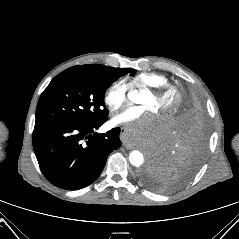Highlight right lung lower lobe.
I'll return each instance as SVG.
<instances>
[{
    "label": "right lung lower lobe",
    "mask_w": 239,
    "mask_h": 239,
    "mask_svg": "<svg viewBox=\"0 0 239 239\" xmlns=\"http://www.w3.org/2000/svg\"><path fill=\"white\" fill-rule=\"evenodd\" d=\"M106 121L107 117L94 123H35L34 152L42 173L52 184L77 190L98 178L108 155L121 146L120 128L94 133Z\"/></svg>",
    "instance_id": "98d812e1"
}]
</instances>
